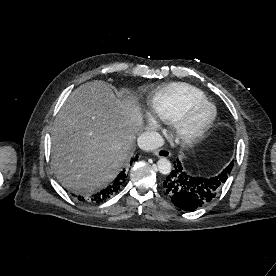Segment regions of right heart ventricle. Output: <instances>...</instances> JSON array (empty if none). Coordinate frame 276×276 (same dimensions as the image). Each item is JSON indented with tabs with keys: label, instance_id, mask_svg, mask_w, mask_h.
I'll return each instance as SVG.
<instances>
[{
	"label": "right heart ventricle",
	"instance_id": "e07e8e85",
	"mask_svg": "<svg viewBox=\"0 0 276 276\" xmlns=\"http://www.w3.org/2000/svg\"><path fill=\"white\" fill-rule=\"evenodd\" d=\"M204 99V93L191 85L171 83L155 91L151 98V112L156 118L173 123L188 104Z\"/></svg>",
	"mask_w": 276,
	"mask_h": 276
}]
</instances>
